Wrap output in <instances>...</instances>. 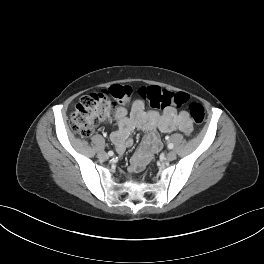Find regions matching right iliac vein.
I'll use <instances>...</instances> for the list:
<instances>
[{"label": "right iliac vein", "instance_id": "right-iliac-vein-1", "mask_svg": "<svg viewBox=\"0 0 264 264\" xmlns=\"http://www.w3.org/2000/svg\"><path fill=\"white\" fill-rule=\"evenodd\" d=\"M99 158L103 159V160H107L109 158L108 154L105 153L104 151H101L99 154H98Z\"/></svg>", "mask_w": 264, "mask_h": 264}]
</instances>
